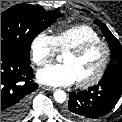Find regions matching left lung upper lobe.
Here are the masks:
<instances>
[{
    "mask_svg": "<svg viewBox=\"0 0 122 122\" xmlns=\"http://www.w3.org/2000/svg\"><path fill=\"white\" fill-rule=\"evenodd\" d=\"M94 22L97 26H99L102 33L104 34L111 51L110 63L102 78H106L114 74H122V45L113 36V34L103 22L100 20H95Z\"/></svg>",
    "mask_w": 122,
    "mask_h": 122,
    "instance_id": "5c2ea615",
    "label": "left lung upper lobe"
}]
</instances>
